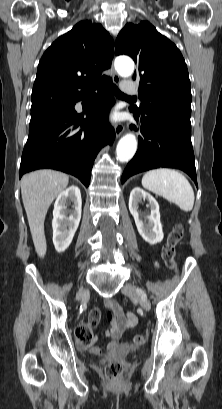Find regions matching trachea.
<instances>
[{
    "label": "trachea",
    "mask_w": 222,
    "mask_h": 409,
    "mask_svg": "<svg viewBox=\"0 0 222 409\" xmlns=\"http://www.w3.org/2000/svg\"><path fill=\"white\" fill-rule=\"evenodd\" d=\"M112 89H113V92H114L115 96L118 97V98H121V99H135V97H131V96H128V95H125L124 93H122L118 89V87H116V85H114V84H112Z\"/></svg>",
    "instance_id": "3493384b"
}]
</instances>
